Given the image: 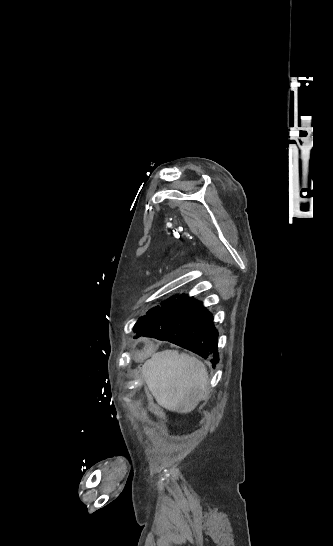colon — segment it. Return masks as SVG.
I'll use <instances>...</instances> for the list:
<instances>
[{"label": "colon", "instance_id": "1", "mask_svg": "<svg viewBox=\"0 0 333 546\" xmlns=\"http://www.w3.org/2000/svg\"><path fill=\"white\" fill-rule=\"evenodd\" d=\"M132 373L134 374L133 376L136 378L138 376L137 374L139 373V368L138 367H133L132 368ZM141 394L144 395L147 400L150 398L148 396V389L145 388L144 386L141 388ZM155 414L160 419V421H162V422L166 421V417H165L164 413L161 410L157 409L155 411Z\"/></svg>", "mask_w": 333, "mask_h": 546}]
</instances>
